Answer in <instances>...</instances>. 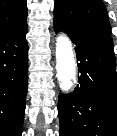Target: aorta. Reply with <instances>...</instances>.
<instances>
[{
  "instance_id": "aorta-1",
  "label": "aorta",
  "mask_w": 117,
  "mask_h": 136,
  "mask_svg": "<svg viewBox=\"0 0 117 136\" xmlns=\"http://www.w3.org/2000/svg\"><path fill=\"white\" fill-rule=\"evenodd\" d=\"M56 71L60 89L68 93L76 82V62L72 42L65 34L56 37Z\"/></svg>"
}]
</instances>
